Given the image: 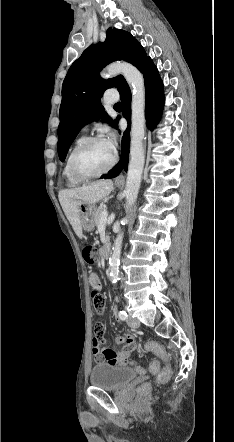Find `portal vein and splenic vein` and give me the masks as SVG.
Wrapping results in <instances>:
<instances>
[{
	"instance_id": "obj_1",
	"label": "portal vein and splenic vein",
	"mask_w": 234,
	"mask_h": 442,
	"mask_svg": "<svg viewBox=\"0 0 234 442\" xmlns=\"http://www.w3.org/2000/svg\"><path fill=\"white\" fill-rule=\"evenodd\" d=\"M108 217V212L104 211L101 213L100 224L106 223Z\"/></svg>"
}]
</instances>
